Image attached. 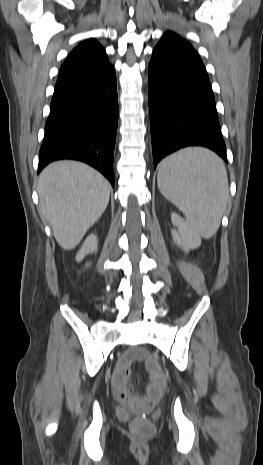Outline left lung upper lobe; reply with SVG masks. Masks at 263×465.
Returning a JSON list of instances; mask_svg holds the SVG:
<instances>
[{"label": "left lung upper lobe", "instance_id": "1", "mask_svg": "<svg viewBox=\"0 0 263 465\" xmlns=\"http://www.w3.org/2000/svg\"><path fill=\"white\" fill-rule=\"evenodd\" d=\"M158 44H178V45L192 48V46L188 42H186L181 37H179L177 34L172 33V32L165 33L163 38Z\"/></svg>", "mask_w": 263, "mask_h": 465}]
</instances>
